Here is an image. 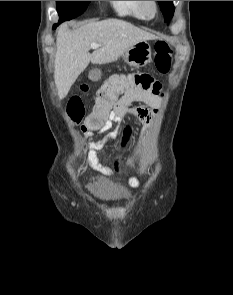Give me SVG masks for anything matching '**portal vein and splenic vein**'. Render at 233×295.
I'll list each match as a JSON object with an SVG mask.
<instances>
[{
	"instance_id": "18ae733b",
	"label": "portal vein and splenic vein",
	"mask_w": 233,
	"mask_h": 295,
	"mask_svg": "<svg viewBox=\"0 0 233 295\" xmlns=\"http://www.w3.org/2000/svg\"><path fill=\"white\" fill-rule=\"evenodd\" d=\"M100 46H102L101 44H97V43H91V45H90V47L92 48V49H97V48H99Z\"/></svg>"
}]
</instances>
